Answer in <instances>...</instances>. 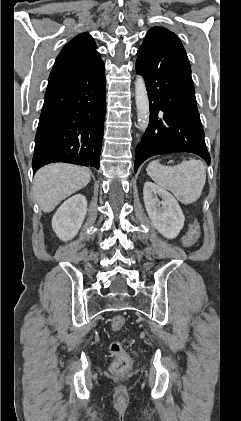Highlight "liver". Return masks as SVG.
Segmentation results:
<instances>
[{
	"mask_svg": "<svg viewBox=\"0 0 241 421\" xmlns=\"http://www.w3.org/2000/svg\"><path fill=\"white\" fill-rule=\"evenodd\" d=\"M89 169L65 163L39 169L33 182L34 197L41 210L51 212L65 198L84 188L91 180Z\"/></svg>",
	"mask_w": 241,
	"mask_h": 421,
	"instance_id": "6515ba94",
	"label": "liver"
}]
</instances>
